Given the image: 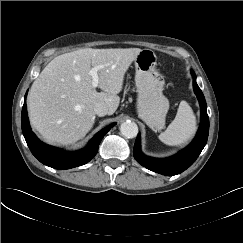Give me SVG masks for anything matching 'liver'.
I'll return each instance as SVG.
<instances>
[{
	"label": "liver",
	"mask_w": 243,
	"mask_h": 243,
	"mask_svg": "<svg viewBox=\"0 0 243 243\" xmlns=\"http://www.w3.org/2000/svg\"><path fill=\"white\" fill-rule=\"evenodd\" d=\"M141 52L139 48H84L55 57L33 82L28 96L32 126L51 144L68 145L82 139L95 122L94 107L103 103L108 114L119 106L124 75ZM98 71V92L91 68Z\"/></svg>",
	"instance_id": "1"
}]
</instances>
